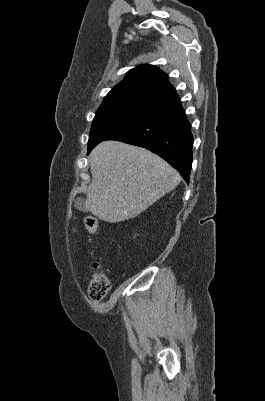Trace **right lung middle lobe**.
Returning <instances> with one entry per match:
<instances>
[{"label": "right lung middle lobe", "instance_id": "obj_1", "mask_svg": "<svg viewBox=\"0 0 265 401\" xmlns=\"http://www.w3.org/2000/svg\"><path fill=\"white\" fill-rule=\"evenodd\" d=\"M163 106L147 102L118 103L101 106L93 119L88 150L108 139L114 132L156 112Z\"/></svg>", "mask_w": 265, "mask_h": 401}]
</instances>
